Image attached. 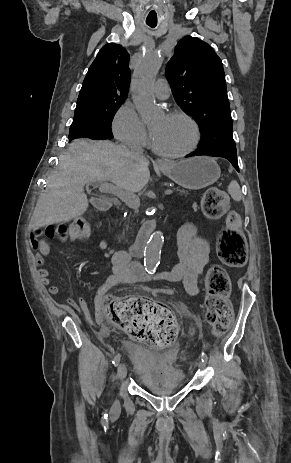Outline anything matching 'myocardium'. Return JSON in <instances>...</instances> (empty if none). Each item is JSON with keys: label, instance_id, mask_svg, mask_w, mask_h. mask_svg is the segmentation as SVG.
<instances>
[{"label": "myocardium", "instance_id": "f54148a6", "mask_svg": "<svg viewBox=\"0 0 291 463\" xmlns=\"http://www.w3.org/2000/svg\"><path fill=\"white\" fill-rule=\"evenodd\" d=\"M169 117L179 118V119L185 121L186 123H188V125L192 129V140H191L190 144L186 148H184V149H182L180 151L171 152V153L163 152V151L159 150L154 145L153 141L151 143V147H152V149H153V151L155 153H157L158 155H160L163 158H169V159L181 158V157H184V156L190 154L191 152H193L196 149V147L198 146V144L200 142V138H201L200 128H199L198 123L195 121V119L193 117H191L188 113L184 112V111L174 110V111L170 112Z\"/></svg>", "mask_w": 291, "mask_h": 463}]
</instances>
